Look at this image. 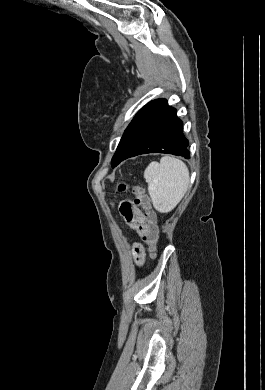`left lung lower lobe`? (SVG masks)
I'll return each instance as SVG.
<instances>
[{"mask_svg":"<svg viewBox=\"0 0 265 390\" xmlns=\"http://www.w3.org/2000/svg\"><path fill=\"white\" fill-rule=\"evenodd\" d=\"M176 109L165 99L145 105L138 114L131 135L119 154L117 166L124 159L148 153H165L189 159L188 140Z\"/></svg>","mask_w":265,"mask_h":390,"instance_id":"obj_1","label":"left lung lower lobe"}]
</instances>
